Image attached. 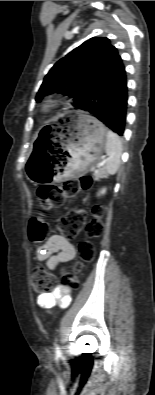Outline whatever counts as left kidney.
Returning a JSON list of instances; mask_svg holds the SVG:
<instances>
[{"instance_id":"obj_1","label":"left kidney","mask_w":155,"mask_h":395,"mask_svg":"<svg viewBox=\"0 0 155 395\" xmlns=\"http://www.w3.org/2000/svg\"><path fill=\"white\" fill-rule=\"evenodd\" d=\"M105 192H106V189L104 188V189H102V190L99 192V194H105Z\"/></svg>"}]
</instances>
